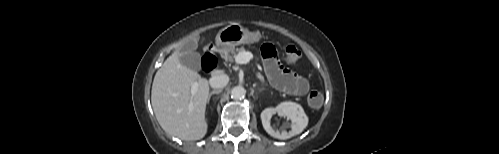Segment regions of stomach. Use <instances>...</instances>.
Returning a JSON list of instances; mask_svg holds the SVG:
<instances>
[{
    "mask_svg": "<svg viewBox=\"0 0 499 154\" xmlns=\"http://www.w3.org/2000/svg\"><path fill=\"white\" fill-rule=\"evenodd\" d=\"M261 35L258 31L250 32L238 24H232L221 29L216 36V44L223 49L240 44L259 42Z\"/></svg>",
    "mask_w": 499,
    "mask_h": 154,
    "instance_id": "0dacf381",
    "label": "stomach"
}]
</instances>
